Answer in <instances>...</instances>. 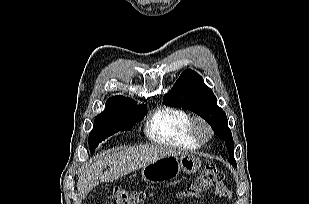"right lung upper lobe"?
I'll return each instance as SVG.
<instances>
[{"instance_id": "obj_1", "label": "right lung upper lobe", "mask_w": 309, "mask_h": 204, "mask_svg": "<svg viewBox=\"0 0 309 204\" xmlns=\"http://www.w3.org/2000/svg\"><path fill=\"white\" fill-rule=\"evenodd\" d=\"M120 101H132L128 98H124L123 96H115V97H112L110 98L106 105H110V104H114V103H117V102H120Z\"/></svg>"}]
</instances>
